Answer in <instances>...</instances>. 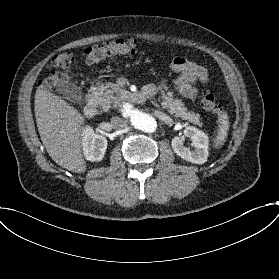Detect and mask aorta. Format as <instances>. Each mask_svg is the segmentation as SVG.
<instances>
[{
	"instance_id": "aorta-1",
	"label": "aorta",
	"mask_w": 279,
	"mask_h": 279,
	"mask_svg": "<svg viewBox=\"0 0 279 279\" xmlns=\"http://www.w3.org/2000/svg\"><path fill=\"white\" fill-rule=\"evenodd\" d=\"M122 112L125 116L130 117L131 123L136 129L146 133H153L156 131L157 122L151 115L134 108L128 103L122 106Z\"/></svg>"
}]
</instances>
